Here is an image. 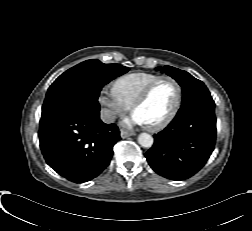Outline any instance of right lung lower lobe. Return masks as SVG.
Listing matches in <instances>:
<instances>
[{
	"instance_id": "right-lung-lower-lobe-1",
	"label": "right lung lower lobe",
	"mask_w": 252,
	"mask_h": 231,
	"mask_svg": "<svg viewBox=\"0 0 252 231\" xmlns=\"http://www.w3.org/2000/svg\"><path fill=\"white\" fill-rule=\"evenodd\" d=\"M99 110L62 105L42 113L40 148L47 164L66 179L82 183L110 163L120 132L100 120Z\"/></svg>"
}]
</instances>
